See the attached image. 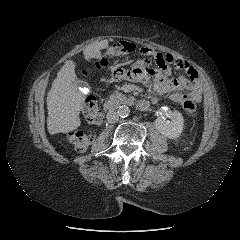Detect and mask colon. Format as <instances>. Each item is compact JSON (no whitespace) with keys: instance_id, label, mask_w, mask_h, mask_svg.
<instances>
[{"instance_id":"colon-1","label":"colon","mask_w":240,"mask_h":240,"mask_svg":"<svg viewBox=\"0 0 240 240\" xmlns=\"http://www.w3.org/2000/svg\"><path fill=\"white\" fill-rule=\"evenodd\" d=\"M134 50L135 45L132 42L127 40L117 41L107 48L100 60L94 62V66L96 68H101L107 64V59L109 57L128 55ZM181 104L183 110L188 115H192L195 112L196 104L192 99L184 96ZM84 115L92 124H99L101 122L102 111L94 97H88L86 99ZM68 138L78 151L87 150L92 142V136L89 133L79 129L71 130L68 133Z\"/></svg>"}]
</instances>
